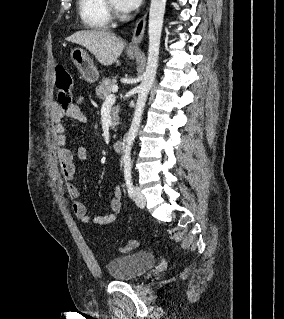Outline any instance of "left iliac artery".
<instances>
[{"label": "left iliac artery", "mask_w": 284, "mask_h": 319, "mask_svg": "<svg viewBox=\"0 0 284 319\" xmlns=\"http://www.w3.org/2000/svg\"><path fill=\"white\" fill-rule=\"evenodd\" d=\"M131 168H132L131 160L129 158L124 159L125 182H126L128 194L132 198L134 196V186L132 182Z\"/></svg>", "instance_id": "1"}]
</instances>
